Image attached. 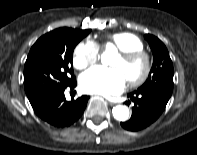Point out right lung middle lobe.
<instances>
[{"label":"right lung middle lobe","mask_w":197,"mask_h":155,"mask_svg":"<svg viewBox=\"0 0 197 155\" xmlns=\"http://www.w3.org/2000/svg\"><path fill=\"white\" fill-rule=\"evenodd\" d=\"M90 31L58 28L35 42L24 67V88L31 104L75 79L73 51Z\"/></svg>","instance_id":"1"}]
</instances>
